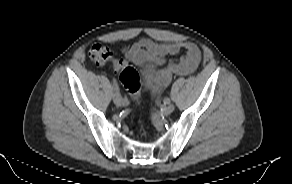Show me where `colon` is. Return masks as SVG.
Instances as JSON below:
<instances>
[{"mask_svg":"<svg viewBox=\"0 0 292 184\" xmlns=\"http://www.w3.org/2000/svg\"><path fill=\"white\" fill-rule=\"evenodd\" d=\"M89 56L96 64H104L112 59V52L107 46L95 44L91 47ZM119 77L133 100L138 103L140 97V77L138 72L134 68L125 65L120 69Z\"/></svg>","mask_w":292,"mask_h":184,"instance_id":"obj_1","label":"colon"}]
</instances>
